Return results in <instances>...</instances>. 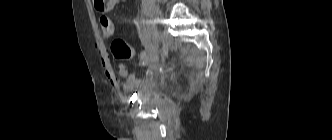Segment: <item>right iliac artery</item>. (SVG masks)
Returning a JSON list of instances; mask_svg holds the SVG:
<instances>
[{
    "label": "right iliac artery",
    "mask_w": 332,
    "mask_h": 140,
    "mask_svg": "<svg viewBox=\"0 0 332 140\" xmlns=\"http://www.w3.org/2000/svg\"><path fill=\"white\" fill-rule=\"evenodd\" d=\"M144 24H145V26H144V29H143V35H144V38L146 40H148L149 36H150V28H151L152 22H151V20H145Z\"/></svg>",
    "instance_id": "right-iliac-artery-1"
}]
</instances>
